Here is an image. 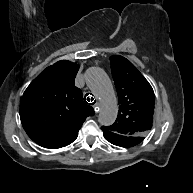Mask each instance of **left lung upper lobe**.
<instances>
[{"label": "left lung upper lobe", "instance_id": "left-lung-upper-lobe-1", "mask_svg": "<svg viewBox=\"0 0 193 193\" xmlns=\"http://www.w3.org/2000/svg\"><path fill=\"white\" fill-rule=\"evenodd\" d=\"M112 76L118 93L119 111L116 122L102 129L142 141L151 129L154 92L145 77L122 56H111Z\"/></svg>", "mask_w": 193, "mask_h": 193}]
</instances>
